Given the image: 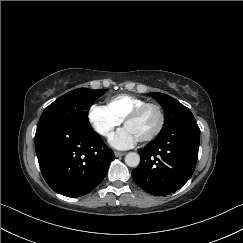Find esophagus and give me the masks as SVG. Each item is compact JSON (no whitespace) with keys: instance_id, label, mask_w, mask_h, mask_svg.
<instances>
[{"instance_id":"1","label":"esophagus","mask_w":243,"mask_h":243,"mask_svg":"<svg viewBox=\"0 0 243 243\" xmlns=\"http://www.w3.org/2000/svg\"><path fill=\"white\" fill-rule=\"evenodd\" d=\"M126 153L125 152H118V151H115L114 152V155L116 156V157H121V156H124Z\"/></svg>"}]
</instances>
